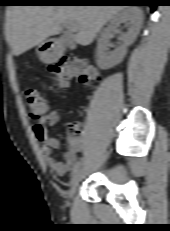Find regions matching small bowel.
<instances>
[{
    "label": "small bowel",
    "mask_w": 170,
    "mask_h": 231,
    "mask_svg": "<svg viewBox=\"0 0 170 231\" xmlns=\"http://www.w3.org/2000/svg\"><path fill=\"white\" fill-rule=\"evenodd\" d=\"M62 117V114L51 111L40 117L33 127V132L41 143V154L45 164L50 170L59 176H64L73 169L74 165L77 163V153H79L84 147V141L79 137L76 141L69 144V147L64 154L63 161H57L53 157L52 151L59 147V140L49 135L47 126L58 124L62 120Z\"/></svg>",
    "instance_id": "1"
}]
</instances>
